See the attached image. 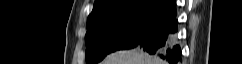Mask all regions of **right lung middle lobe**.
<instances>
[{"label":"right lung middle lobe","mask_w":242,"mask_h":64,"mask_svg":"<svg viewBox=\"0 0 242 64\" xmlns=\"http://www.w3.org/2000/svg\"><path fill=\"white\" fill-rule=\"evenodd\" d=\"M164 16L160 12L134 10L108 14L87 23L86 64L98 63L111 52L136 47Z\"/></svg>","instance_id":"obj_1"}]
</instances>
